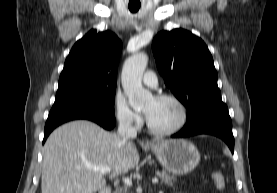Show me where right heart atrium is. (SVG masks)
<instances>
[{"mask_svg": "<svg viewBox=\"0 0 277 193\" xmlns=\"http://www.w3.org/2000/svg\"><path fill=\"white\" fill-rule=\"evenodd\" d=\"M114 112L117 121L123 126L138 127L142 123L139 112L131 108L122 94L115 96Z\"/></svg>", "mask_w": 277, "mask_h": 193, "instance_id": "d8ad5b80", "label": "right heart atrium"}]
</instances>
